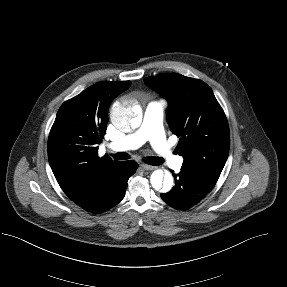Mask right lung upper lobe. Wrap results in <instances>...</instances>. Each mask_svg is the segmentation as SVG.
<instances>
[{
	"mask_svg": "<svg viewBox=\"0 0 287 287\" xmlns=\"http://www.w3.org/2000/svg\"><path fill=\"white\" fill-rule=\"evenodd\" d=\"M130 85V81L96 83L57 112L48 138V159L58 184L75 203L119 164L108 155L98 157V144L106 133L111 102Z\"/></svg>",
	"mask_w": 287,
	"mask_h": 287,
	"instance_id": "right-lung-upper-lobe-1",
	"label": "right lung upper lobe"
}]
</instances>
